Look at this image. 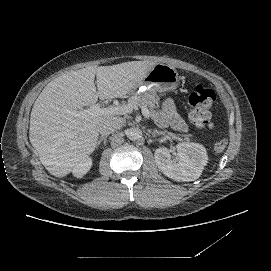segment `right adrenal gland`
Instances as JSON below:
<instances>
[{"instance_id": "2a0ac1e0", "label": "right adrenal gland", "mask_w": 271, "mask_h": 271, "mask_svg": "<svg viewBox=\"0 0 271 271\" xmlns=\"http://www.w3.org/2000/svg\"><path fill=\"white\" fill-rule=\"evenodd\" d=\"M107 135H101L100 137H99V139L97 140V143H96V148H98L99 147V145L103 142V144H104V147H106V145H107Z\"/></svg>"}]
</instances>
